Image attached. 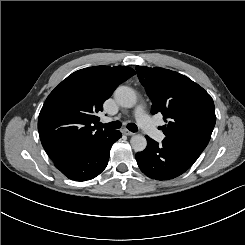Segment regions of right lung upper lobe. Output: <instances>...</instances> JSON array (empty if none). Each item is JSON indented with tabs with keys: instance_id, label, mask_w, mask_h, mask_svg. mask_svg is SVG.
Returning <instances> with one entry per match:
<instances>
[{
	"instance_id": "obj_1",
	"label": "right lung upper lobe",
	"mask_w": 245,
	"mask_h": 245,
	"mask_svg": "<svg viewBox=\"0 0 245 245\" xmlns=\"http://www.w3.org/2000/svg\"><path fill=\"white\" fill-rule=\"evenodd\" d=\"M135 71L126 66H94L78 70L47 97L38 118L41 143L51 159L77 143L108 133L97 127V113L119 84Z\"/></svg>"
}]
</instances>
